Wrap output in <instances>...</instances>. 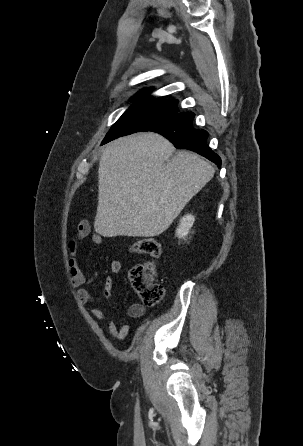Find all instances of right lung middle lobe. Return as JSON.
Instances as JSON below:
<instances>
[{"label": "right lung middle lobe", "mask_w": 303, "mask_h": 446, "mask_svg": "<svg viewBox=\"0 0 303 446\" xmlns=\"http://www.w3.org/2000/svg\"><path fill=\"white\" fill-rule=\"evenodd\" d=\"M177 103V100H171V102L161 110L129 108L111 127L102 144L108 143L121 136L142 131L145 127L158 119L178 112Z\"/></svg>", "instance_id": "obj_1"}]
</instances>
